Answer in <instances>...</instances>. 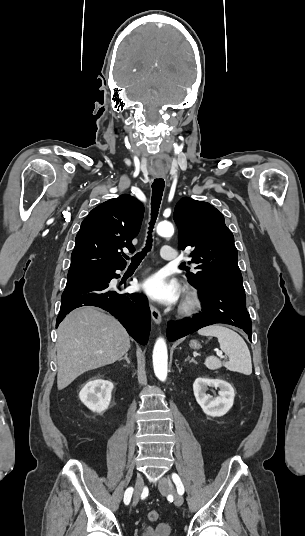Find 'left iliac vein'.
Masks as SVG:
<instances>
[{"label":"left iliac vein","instance_id":"1","mask_svg":"<svg viewBox=\"0 0 305 536\" xmlns=\"http://www.w3.org/2000/svg\"><path fill=\"white\" fill-rule=\"evenodd\" d=\"M169 486V479L167 477H162L158 485L160 493L164 495L169 494L171 492ZM172 494L174 496L175 505L181 506L183 504V496L177 492H172Z\"/></svg>","mask_w":305,"mask_h":536}]
</instances>
